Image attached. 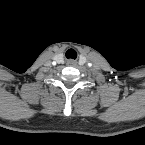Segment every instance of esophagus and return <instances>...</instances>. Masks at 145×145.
<instances>
[{"label": "esophagus", "mask_w": 145, "mask_h": 145, "mask_svg": "<svg viewBox=\"0 0 145 145\" xmlns=\"http://www.w3.org/2000/svg\"><path fill=\"white\" fill-rule=\"evenodd\" d=\"M67 64H69V65H75L76 62H75L74 60H68V61H67Z\"/></svg>", "instance_id": "34e87169"}]
</instances>
